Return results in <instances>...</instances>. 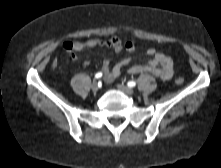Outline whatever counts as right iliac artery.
<instances>
[{
    "label": "right iliac artery",
    "mask_w": 221,
    "mask_h": 168,
    "mask_svg": "<svg viewBox=\"0 0 221 168\" xmlns=\"http://www.w3.org/2000/svg\"><path fill=\"white\" fill-rule=\"evenodd\" d=\"M102 77V73L101 72H98L97 74H95V78L96 79H99Z\"/></svg>",
    "instance_id": "obj_1"
}]
</instances>
